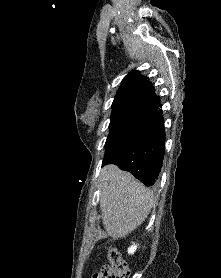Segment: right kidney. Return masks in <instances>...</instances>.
<instances>
[{"label": "right kidney", "mask_w": 221, "mask_h": 278, "mask_svg": "<svg viewBox=\"0 0 221 278\" xmlns=\"http://www.w3.org/2000/svg\"><path fill=\"white\" fill-rule=\"evenodd\" d=\"M137 249V245L133 244L131 247L128 248V253L133 254Z\"/></svg>", "instance_id": "1"}]
</instances>
